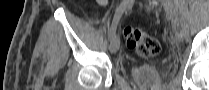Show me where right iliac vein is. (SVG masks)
Wrapping results in <instances>:
<instances>
[{
    "label": "right iliac vein",
    "mask_w": 209,
    "mask_h": 90,
    "mask_svg": "<svg viewBox=\"0 0 209 90\" xmlns=\"http://www.w3.org/2000/svg\"><path fill=\"white\" fill-rule=\"evenodd\" d=\"M120 47V38L119 35H115L110 42V52L116 53Z\"/></svg>",
    "instance_id": "63e3f726"
}]
</instances>
